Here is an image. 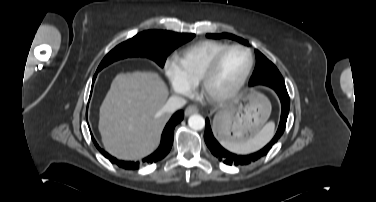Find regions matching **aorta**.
Masks as SVG:
<instances>
[{
    "label": "aorta",
    "instance_id": "obj_1",
    "mask_svg": "<svg viewBox=\"0 0 376 202\" xmlns=\"http://www.w3.org/2000/svg\"><path fill=\"white\" fill-rule=\"evenodd\" d=\"M188 125L193 130H202L205 127V119L199 115H191L188 119Z\"/></svg>",
    "mask_w": 376,
    "mask_h": 202
}]
</instances>
